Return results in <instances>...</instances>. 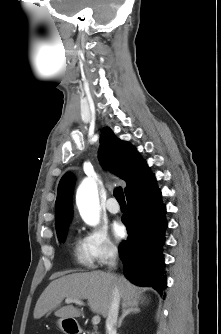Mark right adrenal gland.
<instances>
[{"label":"right adrenal gland","instance_id":"right-adrenal-gland-1","mask_svg":"<svg viewBox=\"0 0 221 334\" xmlns=\"http://www.w3.org/2000/svg\"><path fill=\"white\" fill-rule=\"evenodd\" d=\"M140 312L138 304L131 306H123L122 315L118 321V328L121 326L123 319L129 314H136Z\"/></svg>","mask_w":221,"mask_h":334}]
</instances>
